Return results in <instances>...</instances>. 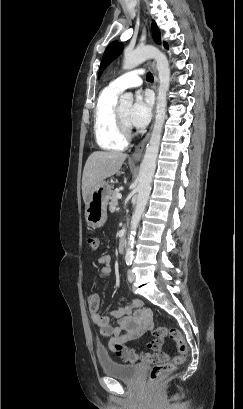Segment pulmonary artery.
<instances>
[{"instance_id": "obj_1", "label": "pulmonary artery", "mask_w": 243, "mask_h": 409, "mask_svg": "<svg viewBox=\"0 0 243 409\" xmlns=\"http://www.w3.org/2000/svg\"><path fill=\"white\" fill-rule=\"evenodd\" d=\"M142 75V69H134L113 79L108 86L118 92H122L127 88L138 87L142 83Z\"/></svg>"}]
</instances>
